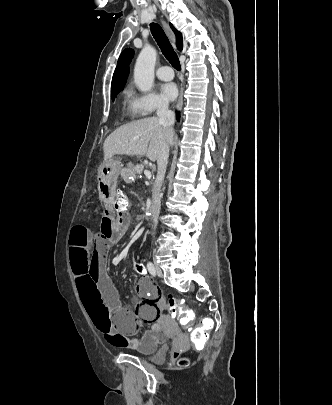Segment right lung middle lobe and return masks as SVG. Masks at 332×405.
Segmentation results:
<instances>
[{
	"label": "right lung middle lobe",
	"mask_w": 332,
	"mask_h": 405,
	"mask_svg": "<svg viewBox=\"0 0 332 405\" xmlns=\"http://www.w3.org/2000/svg\"><path fill=\"white\" fill-rule=\"evenodd\" d=\"M125 82L118 84L117 86L111 88L112 99L123 89Z\"/></svg>",
	"instance_id": "right-lung-middle-lobe-1"
}]
</instances>
